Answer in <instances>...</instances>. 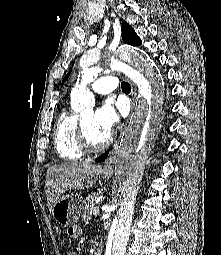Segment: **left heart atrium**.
Returning <instances> with one entry per match:
<instances>
[{
	"mask_svg": "<svg viewBox=\"0 0 221 255\" xmlns=\"http://www.w3.org/2000/svg\"><path fill=\"white\" fill-rule=\"evenodd\" d=\"M94 121L101 131L109 135L118 123L119 117L114 107L110 103H105L95 112Z\"/></svg>",
	"mask_w": 221,
	"mask_h": 255,
	"instance_id": "1",
	"label": "left heart atrium"
}]
</instances>
